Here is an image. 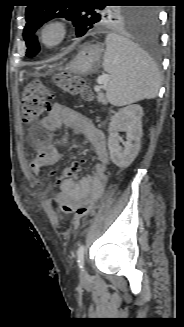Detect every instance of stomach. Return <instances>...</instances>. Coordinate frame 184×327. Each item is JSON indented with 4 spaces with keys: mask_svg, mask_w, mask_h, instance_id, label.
Returning <instances> with one entry per match:
<instances>
[{
    "mask_svg": "<svg viewBox=\"0 0 184 327\" xmlns=\"http://www.w3.org/2000/svg\"><path fill=\"white\" fill-rule=\"evenodd\" d=\"M102 53L103 48L98 44L83 47L66 69L79 75L92 73L98 68Z\"/></svg>",
    "mask_w": 184,
    "mask_h": 327,
    "instance_id": "stomach-1",
    "label": "stomach"
}]
</instances>
